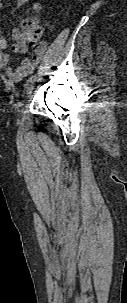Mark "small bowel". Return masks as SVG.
Returning a JSON list of instances; mask_svg holds the SVG:
<instances>
[{"label": "small bowel", "mask_w": 127, "mask_h": 303, "mask_svg": "<svg viewBox=\"0 0 127 303\" xmlns=\"http://www.w3.org/2000/svg\"><path fill=\"white\" fill-rule=\"evenodd\" d=\"M28 0H15V5L12 10H16L22 5L26 4ZM2 0H0V10L2 9ZM12 35L15 39L13 45V51L16 53H25L27 51V45L20 36V31L18 28L14 29ZM8 47V42L3 36L0 27V68L4 69L6 77L12 82L19 83L25 77H27L44 57L47 44L46 42H41L36 45L33 49V54L31 58H25L17 67L13 68L9 66L10 55L5 52Z\"/></svg>", "instance_id": "1"}]
</instances>
